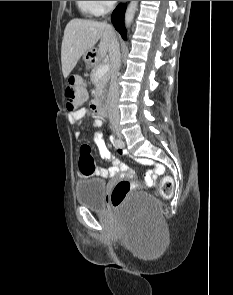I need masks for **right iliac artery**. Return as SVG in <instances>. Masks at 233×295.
I'll return each mask as SVG.
<instances>
[{"mask_svg": "<svg viewBox=\"0 0 233 295\" xmlns=\"http://www.w3.org/2000/svg\"><path fill=\"white\" fill-rule=\"evenodd\" d=\"M114 145L118 148V147L123 146V143L119 139H116V142H114Z\"/></svg>", "mask_w": 233, "mask_h": 295, "instance_id": "1", "label": "right iliac artery"}]
</instances>
